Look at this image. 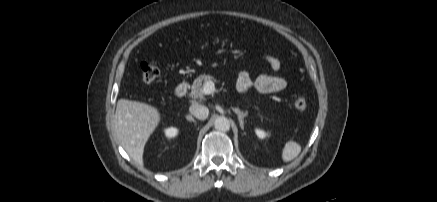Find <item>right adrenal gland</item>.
Returning <instances> with one entry per match:
<instances>
[{
	"label": "right adrenal gland",
	"instance_id": "obj_1",
	"mask_svg": "<svg viewBox=\"0 0 437 202\" xmlns=\"http://www.w3.org/2000/svg\"><path fill=\"white\" fill-rule=\"evenodd\" d=\"M186 119H187L188 121H190V122H194V123H196V120H195L191 115H187V116H186Z\"/></svg>",
	"mask_w": 437,
	"mask_h": 202
}]
</instances>
